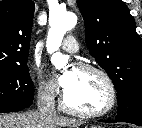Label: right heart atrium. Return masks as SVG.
Returning a JSON list of instances; mask_svg holds the SVG:
<instances>
[{
  "label": "right heart atrium",
  "mask_w": 142,
  "mask_h": 128,
  "mask_svg": "<svg viewBox=\"0 0 142 128\" xmlns=\"http://www.w3.org/2000/svg\"><path fill=\"white\" fill-rule=\"evenodd\" d=\"M56 95L55 83L48 78L39 75L38 96L44 101H52Z\"/></svg>",
  "instance_id": "obj_1"
}]
</instances>
